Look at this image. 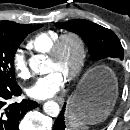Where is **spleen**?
Wrapping results in <instances>:
<instances>
[{
    "label": "spleen",
    "mask_w": 130,
    "mask_h": 130,
    "mask_svg": "<svg viewBox=\"0 0 130 130\" xmlns=\"http://www.w3.org/2000/svg\"><path fill=\"white\" fill-rule=\"evenodd\" d=\"M67 119H68V130H77L78 128L80 129L87 128L84 122H82L80 119L76 118L73 115L69 114Z\"/></svg>",
    "instance_id": "spleen-1"
}]
</instances>
